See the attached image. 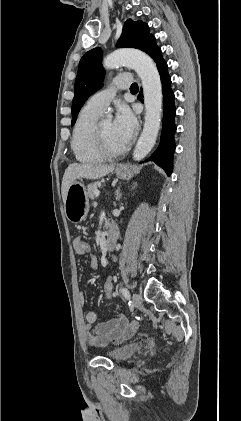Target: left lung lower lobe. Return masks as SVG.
<instances>
[{
  "instance_id": "obj_1",
  "label": "left lung lower lobe",
  "mask_w": 241,
  "mask_h": 421,
  "mask_svg": "<svg viewBox=\"0 0 241 421\" xmlns=\"http://www.w3.org/2000/svg\"><path fill=\"white\" fill-rule=\"evenodd\" d=\"M144 52L151 56L157 65L161 77L164 98L160 144L156 151L147 160L154 161L166 171L167 175H170L172 171L173 153L175 150L174 133L176 132L174 122L176 114V108L174 105L175 97L171 89V78L167 72V63L162 58V52L156 44L155 37L150 40L144 49Z\"/></svg>"
}]
</instances>
